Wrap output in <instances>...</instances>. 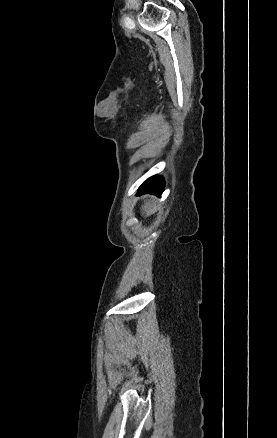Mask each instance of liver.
I'll return each instance as SVG.
<instances>
[{
	"instance_id": "obj_1",
	"label": "liver",
	"mask_w": 277,
	"mask_h": 438,
	"mask_svg": "<svg viewBox=\"0 0 277 438\" xmlns=\"http://www.w3.org/2000/svg\"><path fill=\"white\" fill-rule=\"evenodd\" d=\"M143 210H144V212H148V210H149L148 206H143Z\"/></svg>"
}]
</instances>
